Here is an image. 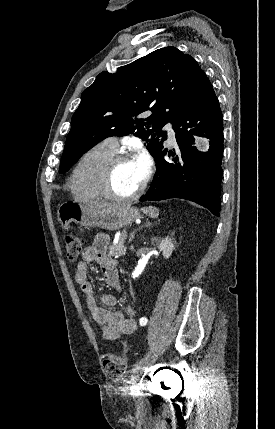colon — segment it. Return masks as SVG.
<instances>
[{
  "label": "colon",
  "instance_id": "obj_1",
  "mask_svg": "<svg viewBox=\"0 0 275 429\" xmlns=\"http://www.w3.org/2000/svg\"><path fill=\"white\" fill-rule=\"evenodd\" d=\"M65 248L67 258L71 261L76 260L82 252L83 241L76 235H67L65 237ZM127 347L123 345V354L121 356L108 354L103 359V370L105 374L113 381L122 377L126 368Z\"/></svg>",
  "mask_w": 275,
  "mask_h": 429
}]
</instances>
